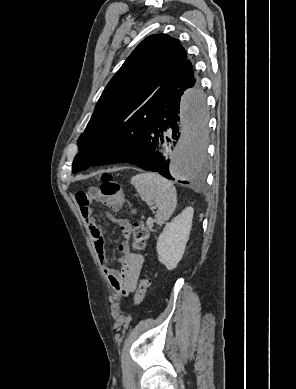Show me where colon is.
<instances>
[{"label": "colon", "instance_id": "1", "mask_svg": "<svg viewBox=\"0 0 296 389\" xmlns=\"http://www.w3.org/2000/svg\"><path fill=\"white\" fill-rule=\"evenodd\" d=\"M100 199L109 205L115 207L122 202L123 192L121 185L113 179L109 174H103L101 177V184L98 190ZM148 238V230L145 224L138 220L134 223L132 229V245L136 250H141L145 246V242ZM151 285L149 278H143L137 288L135 294V304L141 305L145 299L146 293Z\"/></svg>", "mask_w": 296, "mask_h": 389}]
</instances>
